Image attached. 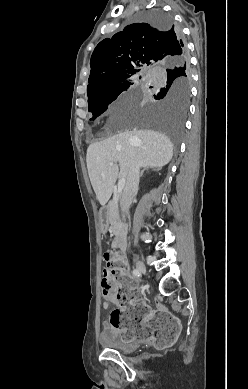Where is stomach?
<instances>
[{"label": "stomach", "instance_id": "0dacf381", "mask_svg": "<svg viewBox=\"0 0 248 389\" xmlns=\"http://www.w3.org/2000/svg\"><path fill=\"white\" fill-rule=\"evenodd\" d=\"M100 213L102 214L101 215L102 220L100 221V224L102 225L101 234L107 235L109 231L108 219L110 218V215L108 214V208L101 207Z\"/></svg>", "mask_w": 248, "mask_h": 389}]
</instances>
